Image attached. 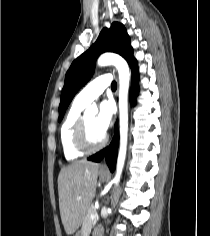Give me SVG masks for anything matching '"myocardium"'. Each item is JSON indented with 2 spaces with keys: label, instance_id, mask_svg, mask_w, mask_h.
<instances>
[{
  "label": "myocardium",
  "instance_id": "myocardium-1",
  "mask_svg": "<svg viewBox=\"0 0 210 236\" xmlns=\"http://www.w3.org/2000/svg\"><path fill=\"white\" fill-rule=\"evenodd\" d=\"M73 142L77 150L89 153L102 148L107 142V136L103 134L99 142L93 143L89 138L85 115H82L76 124Z\"/></svg>",
  "mask_w": 210,
  "mask_h": 236
}]
</instances>
